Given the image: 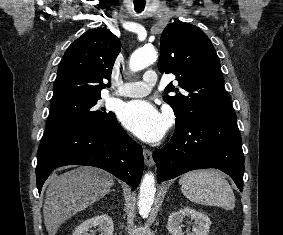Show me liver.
<instances>
[{
  "instance_id": "liver-1",
  "label": "liver",
  "mask_w": 283,
  "mask_h": 235,
  "mask_svg": "<svg viewBox=\"0 0 283 235\" xmlns=\"http://www.w3.org/2000/svg\"><path fill=\"white\" fill-rule=\"evenodd\" d=\"M113 184L111 174L91 166L52 176L43 206L48 234L55 235L68 218L104 197Z\"/></svg>"
}]
</instances>
